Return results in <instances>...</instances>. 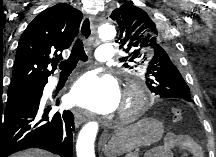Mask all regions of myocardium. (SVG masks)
<instances>
[{
	"mask_svg": "<svg viewBox=\"0 0 216 157\" xmlns=\"http://www.w3.org/2000/svg\"><path fill=\"white\" fill-rule=\"evenodd\" d=\"M146 97L142 89L138 86L131 87L125 93L120 116L124 120H132L145 107Z\"/></svg>",
	"mask_w": 216,
	"mask_h": 157,
	"instance_id": "obj_1",
	"label": "myocardium"
}]
</instances>
